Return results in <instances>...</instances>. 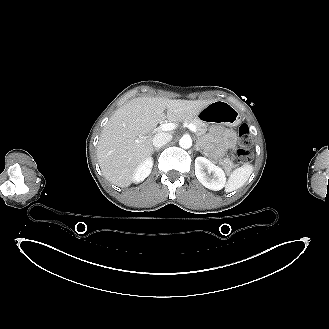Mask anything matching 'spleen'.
<instances>
[{"label":"spleen","mask_w":329,"mask_h":329,"mask_svg":"<svg viewBox=\"0 0 329 329\" xmlns=\"http://www.w3.org/2000/svg\"><path fill=\"white\" fill-rule=\"evenodd\" d=\"M253 171L252 165L245 164L234 170L228 180L225 192L229 193L242 187L249 179Z\"/></svg>","instance_id":"3e777b00"}]
</instances>
